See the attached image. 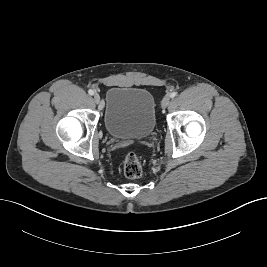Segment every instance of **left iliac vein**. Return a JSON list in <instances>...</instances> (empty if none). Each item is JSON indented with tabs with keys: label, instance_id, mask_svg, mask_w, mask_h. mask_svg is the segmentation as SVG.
Segmentation results:
<instances>
[{
	"label": "left iliac vein",
	"instance_id": "left-iliac-vein-1",
	"mask_svg": "<svg viewBox=\"0 0 267 267\" xmlns=\"http://www.w3.org/2000/svg\"><path fill=\"white\" fill-rule=\"evenodd\" d=\"M169 103H170V97L169 96H165L163 98V100H162L161 105H162L163 108H166L169 105Z\"/></svg>",
	"mask_w": 267,
	"mask_h": 267
}]
</instances>
